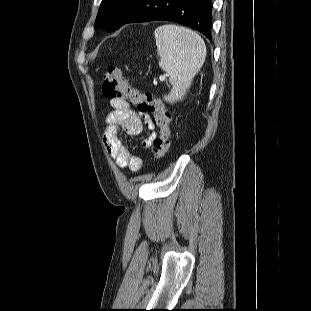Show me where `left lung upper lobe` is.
I'll return each mask as SVG.
<instances>
[{
	"mask_svg": "<svg viewBox=\"0 0 311 311\" xmlns=\"http://www.w3.org/2000/svg\"><path fill=\"white\" fill-rule=\"evenodd\" d=\"M132 0H102L96 19L95 29L114 31L118 21Z\"/></svg>",
	"mask_w": 311,
	"mask_h": 311,
	"instance_id": "left-lung-upper-lobe-1",
	"label": "left lung upper lobe"
}]
</instances>
